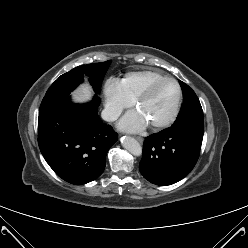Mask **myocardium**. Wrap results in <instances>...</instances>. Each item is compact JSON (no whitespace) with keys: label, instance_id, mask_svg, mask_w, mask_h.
I'll return each mask as SVG.
<instances>
[{"label":"myocardium","instance_id":"f54148a6","mask_svg":"<svg viewBox=\"0 0 248 248\" xmlns=\"http://www.w3.org/2000/svg\"><path fill=\"white\" fill-rule=\"evenodd\" d=\"M163 82H172L175 84L177 91H178V97H177V101L175 104V107L173 109V111L163 120L158 121V122H154V123H150L152 127L154 128H162L165 126L170 125L172 122L175 121V119L177 118L179 112H180V108L182 105V101H183V93H182V88L179 84V82L172 78V77H163L161 79H158L154 82H152L151 84H149L136 98H135V105L139 106L143 101H145L150 94L152 93V91L161 83Z\"/></svg>","mask_w":248,"mask_h":248}]
</instances>
